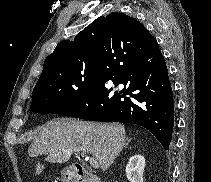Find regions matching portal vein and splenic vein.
<instances>
[{
  "instance_id": "18ae733b",
  "label": "portal vein and splenic vein",
  "mask_w": 211,
  "mask_h": 182,
  "mask_svg": "<svg viewBox=\"0 0 211 182\" xmlns=\"http://www.w3.org/2000/svg\"><path fill=\"white\" fill-rule=\"evenodd\" d=\"M83 153H85V152H83ZM89 162H90V164H91L94 168H98V167H99L98 161H97L95 158L91 157V158L89 159Z\"/></svg>"
}]
</instances>
